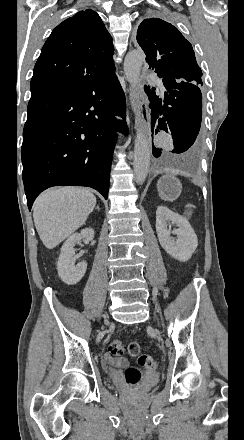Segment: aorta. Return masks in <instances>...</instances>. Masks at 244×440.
<instances>
[{
  "label": "aorta",
  "instance_id": "obj_1",
  "mask_svg": "<svg viewBox=\"0 0 244 440\" xmlns=\"http://www.w3.org/2000/svg\"><path fill=\"white\" fill-rule=\"evenodd\" d=\"M145 55L141 50H133L127 53L124 61V72L127 81L133 88H136L140 81V72ZM150 140L142 128L136 132L134 142V159L133 168L135 181L143 184L145 181L150 165Z\"/></svg>",
  "mask_w": 244,
  "mask_h": 440
}]
</instances>
